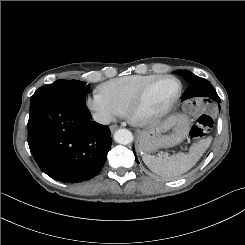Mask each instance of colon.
Returning a JSON list of instances; mask_svg holds the SVG:
<instances>
[{"mask_svg":"<svg viewBox=\"0 0 245 245\" xmlns=\"http://www.w3.org/2000/svg\"><path fill=\"white\" fill-rule=\"evenodd\" d=\"M213 126V119L207 113L198 115L196 124L191 128L189 136L193 140H199L207 135Z\"/></svg>","mask_w":245,"mask_h":245,"instance_id":"1","label":"colon"}]
</instances>
